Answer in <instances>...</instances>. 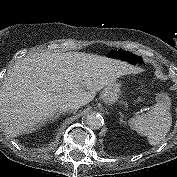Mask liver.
I'll use <instances>...</instances> for the list:
<instances>
[{"label": "liver", "mask_w": 177, "mask_h": 177, "mask_svg": "<svg viewBox=\"0 0 177 177\" xmlns=\"http://www.w3.org/2000/svg\"><path fill=\"white\" fill-rule=\"evenodd\" d=\"M142 71L125 61L96 54H29L17 60L4 77L0 122L10 137L31 133L52 118L63 103L84 106L117 78Z\"/></svg>", "instance_id": "obj_1"}]
</instances>
